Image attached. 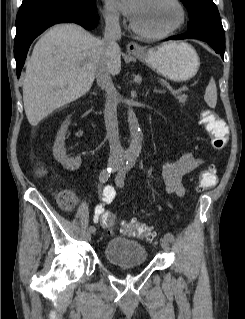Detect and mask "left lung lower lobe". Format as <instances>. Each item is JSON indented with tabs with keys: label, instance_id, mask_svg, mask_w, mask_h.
<instances>
[{
	"label": "left lung lower lobe",
	"instance_id": "0a47b994",
	"mask_svg": "<svg viewBox=\"0 0 245 319\" xmlns=\"http://www.w3.org/2000/svg\"><path fill=\"white\" fill-rule=\"evenodd\" d=\"M179 39H199V40L205 41L215 50L216 53L220 54L222 59L224 60L225 43L211 36L202 35V34L184 33L177 36L169 37L166 40H179Z\"/></svg>",
	"mask_w": 245,
	"mask_h": 319
}]
</instances>
